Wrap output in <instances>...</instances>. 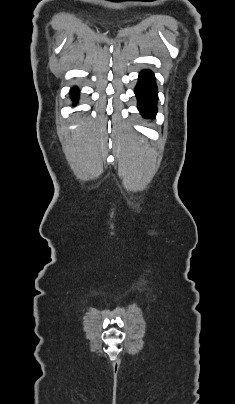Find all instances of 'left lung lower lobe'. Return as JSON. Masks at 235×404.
<instances>
[{"label": "left lung lower lobe", "mask_w": 235, "mask_h": 404, "mask_svg": "<svg viewBox=\"0 0 235 404\" xmlns=\"http://www.w3.org/2000/svg\"><path fill=\"white\" fill-rule=\"evenodd\" d=\"M135 94L141 114L145 118H153L157 112L158 93L154 75L150 71L141 72Z\"/></svg>", "instance_id": "0a47b994"}]
</instances>
